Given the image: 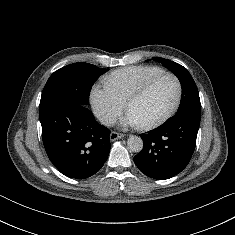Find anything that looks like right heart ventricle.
Here are the masks:
<instances>
[{"label":"right heart ventricle","mask_w":235,"mask_h":235,"mask_svg":"<svg viewBox=\"0 0 235 235\" xmlns=\"http://www.w3.org/2000/svg\"><path fill=\"white\" fill-rule=\"evenodd\" d=\"M161 72L164 70L157 66H129L112 72L105 83L125 103L144 82Z\"/></svg>","instance_id":"e07e8e85"}]
</instances>
